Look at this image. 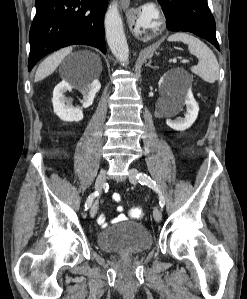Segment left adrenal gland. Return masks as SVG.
Wrapping results in <instances>:
<instances>
[{"mask_svg":"<svg viewBox=\"0 0 247 299\" xmlns=\"http://www.w3.org/2000/svg\"><path fill=\"white\" fill-rule=\"evenodd\" d=\"M146 66L151 67V68H155L151 66V59L149 58V62L146 64Z\"/></svg>","mask_w":247,"mask_h":299,"instance_id":"a2214340","label":"left adrenal gland"}]
</instances>
